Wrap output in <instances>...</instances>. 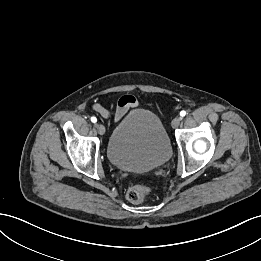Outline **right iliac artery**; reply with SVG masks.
<instances>
[{
    "instance_id": "obj_1",
    "label": "right iliac artery",
    "mask_w": 261,
    "mask_h": 261,
    "mask_svg": "<svg viewBox=\"0 0 261 261\" xmlns=\"http://www.w3.org/2000/svg\"><path fill=\"white\" fill-rule=\"evenodd\" d=\"M91 122H93V123H96L97 122V118L96 117H91Z\"/></svg>"
}]
</instances>
